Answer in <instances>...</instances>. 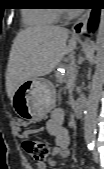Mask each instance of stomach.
<instances>
[{"label": "stomach", "mask_w": 104, "mask_h": 169, "mask_svg": "<svg viewBox=\"0 0 104 169\" xmlns=\"http://www.w3.org/2000/svg\"><path fill=\"white\" fill-rule=\"evenodd\" d=\"M54 84L44 78L35 77L22 83L15 91L11 103L15 113L22 119H43L56 105Z\"/></svg>", "instance_id": "0dacf381"}]
</instances>
